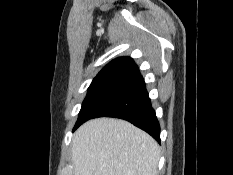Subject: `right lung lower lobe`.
Wrapping results in <instances>:
<instances>
[{
  "mask_svg": "<svg viewBox=\"0 0 233 175\" xmlns=\"http://www.w3.org/2000/svg\"><path fill=\"white\" fill-rule=\"evenodd\" d=\"M104 116L127 120L160 142V125L151 106L142 77L135 80L128 88L89 119Z\"/></svg>",
  "mask_w": 233,
  "mask_h": 175,
  "instance_id": "98d812e1",
  "label": "right lung lower lobe"
}]
</instances>
